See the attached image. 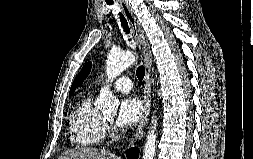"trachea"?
I'll list each match as a JSON object with an SVG mask.
<instances>
[{
	"label": "trachea",
	"mask_w": 253,
	"mask_h": 159,
	"mask_svg": "<svg viewBox=\"0 0 253 159\" xmlns=\"http://www.w3.org/2000/svg\"><path fill=\"white\" fill-rule=\"evenodd\" d=\"M106 3L108 5H112L113 4V0H107ZM120 16V21H121V25L123 27L124 32L128 35L130 33V28L128 27V23L127 20L125 19V17L122 15V13H119ZM130 40V39H129ZM136 75L137 78L139 79V81H142L144 76H145V68L144 66H139L136 70Z\"/></svg>",
	"instance_id": "3493384b"
}]
</instances>
